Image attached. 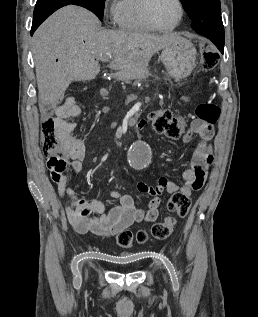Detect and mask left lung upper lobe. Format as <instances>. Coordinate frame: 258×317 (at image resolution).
I'll return each mask as SVG.
<instances>
[{
    "mask_svg": "<svg viewBox=\"0 0 258 317\" xmlns=\"http://www.w3.org/2000/svg\"><path fill=\"white\" fill-rule=\"evenodd\" d=\"M191 18L192 28H223L220 0H180Z\"/></svg>",
    "mask_w": 258,
    "mask_h": 317,
    "instance_id": "obj_1",
    "label": "left lung upper lobe"
}]
</instances>
